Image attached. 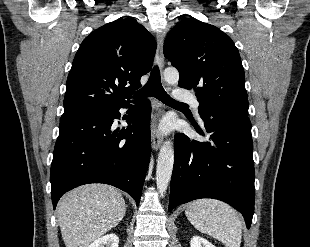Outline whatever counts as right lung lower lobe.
<instances>
[{
    "label": "right lung lower lobe",
    "instance_id": "right-lung-lower-lobe-1",
    "mask_svg": "<svg viewBox=\"0 0 310 247\" xmlns=\"http://www.w3.org/2000/svg\"><path fill=\"white\" fill-rule=\"evenodd\" d=\"M129 103L64 112L51 164L53 208L67 191L87 183L113 185L139 205L151 154V104L143 101L129 116L127 128L112 132L119 109Z\"/></svg>",
    "mask_w": 310,
    "mask_h": 247
}]
</instances>
